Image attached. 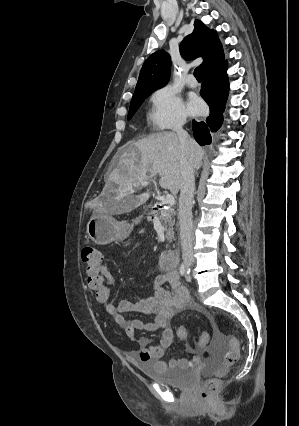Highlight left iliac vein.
Returning a JSON list of instances; mask_svg holds the SVG:
<instances>
[{"label":"left iliac vein","mask_w":299,"mask_h":426,"mask_svg":"<svg viewBox=\"0 0 299 426\" xmlns=\"http://www.w3.org/2000/svg\"><path fill=\"white\" fill-rule=\"evenodd\" d=\"M186 280H187V281H190V276H189V275L186 277Z\"/></svg>","instance_id":"1"}]
</instances>
